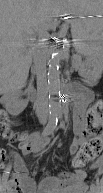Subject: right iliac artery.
<instances>
[{"label": "right iliac artery", "instance_id": "82829eb1", "mask_svg": "<svg viewBox=\"0 0 103 193\" xmlns=\"http://www.w3.org/2000/svg\"><path fill=\"white\" fill-rule=\"evenodd\" d=\"M57 121H58L57 115L54 114V113L51 114L49 123H48L47 126L44 128L42 135H43V136L49 135V134L55 129V127H56V125H57Z\"/></svg>", "mask_w": 103, "mask_h": 193}]
</instances>
